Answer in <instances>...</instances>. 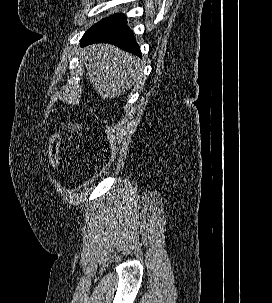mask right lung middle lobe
Returning a JSON list of instances; mask_svg holds the SVG:
<instances>
[{"label": "right lung middle lobe", "mask_w": 272, "mask_h": 303, "mask_svg": "<svg viewBox=\"0 0 272 303\" xmlns=\"http://www.w3.org/2000/svg\"><path fill=\"white\" fill-rule=\"evenodd\" d=\"M122 19H125V16L123 14H116L107 18L102 19L98 23H96L94 26H92L87 32H91L95 29L101 28L106 25H110L112 23L118 22Z\"/></svg>", "instance_id": "1"}]
</instances>
